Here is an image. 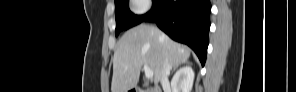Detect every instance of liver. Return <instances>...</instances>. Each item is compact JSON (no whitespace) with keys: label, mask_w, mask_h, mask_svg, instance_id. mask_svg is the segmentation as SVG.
<instances>
[{"label":"liver","mask_w":296,"mask_h":92,"mask_svg":"<svg viewBox=\"0 0 296 92\" xmlns=\"http://www.w3.org/2000/svg\"><path fill=\"white\" fill-rule=\"evenodd\" d=\"M190 52L155 26L141 24L128 30L114 52L111 92H128L136 87L144 64L153 71L154 83L158 84L164 61L168 59L171 67H178L189 59Z\"/></svg>","instance_id":"1"}]
</instances>
